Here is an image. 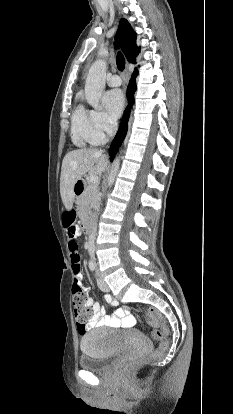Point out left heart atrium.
Listing matches in <instances>:
<instances>
[{
    "mask_svg": "<svg viewBox=\"0 0 233 414\" xmlns=\"http://www.w3.org/2000/svg\"><path fill=\"white\" fill-rule=\"evenodd\" d=\"M104 104L108 112L115 118L120 116L124 104L125 98L121 90L112 89L104 95Z\"/></svg>",
    "mask_w": 233,
    "mask_h": 414,
    "instance_id": "39dd6f15",
    "label": "left heart atrium"
}]
</instances>
